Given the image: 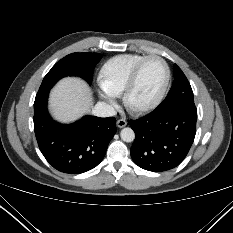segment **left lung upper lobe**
<instances>
[{"mask_svg": "<svg viewBox=\"0 0 233 233\" xmlns=\"http://www.w3.org/2000/svg\"><path fill=\"white\" fill-rule=\"evenodd\" d=\"M173 85L165 100L157 107L162 109L175 104H194L193 91L182 70L174 64Z\"/></svg>", "mask_w": 233, "mask_h": 233, "instance_id": "5c2ea615", "label": "left lung upper lobe"}]
</instances>
